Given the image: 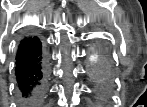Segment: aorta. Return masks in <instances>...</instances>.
Wrapping results in <instances>:
<instances>
[{
	"label": "aorta",
	"mask_w": 147,
	"mask_h": 107,
	"mask_svg": "<svg viewBox=\"0 0 147 107\" xmlns=\"http://www.w3.org/2000/svg\"><path fill=\"white\" fill-rule=\"evenodd\" d=\"M90 60L92 62H95L97 64H100L102 62V55L100 53H93L90 56ZM103 72H104V70H101V73H103Z\"/></svg>",
	"instance_id": "obj_1"
}]
</instances>
